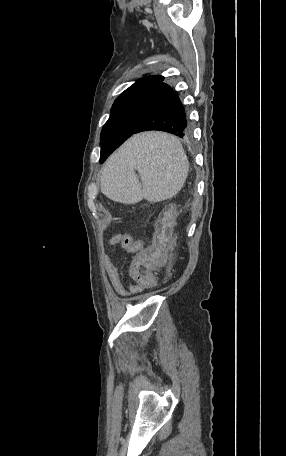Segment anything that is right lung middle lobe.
<instances>
[{
  "instance_id": "1",
  "label": "right lung middle lobe",
  "mask_w": 286,
  "mask_h": 456,
  "mask_svg": "<svg viewBox=\"0 0 286 456\" xmlns=\"http://www.w3.org/2000/svg\"><path fill=\"white\" fill-rule=\"evenodd\" d=\"M130 136V128L122 100H116L111 109V115L103 126L101 140L100 163L119 147Z\"/></svg>"
}]
</instances>
